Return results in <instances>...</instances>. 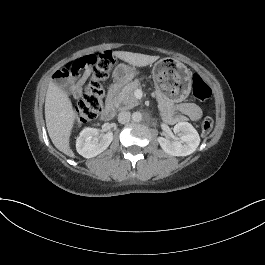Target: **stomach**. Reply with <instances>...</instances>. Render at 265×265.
I'll return each instance as SVG.
<instances>
[{
  "mask_svg": "<svg viewBox=\"0 0 265 265\" xmlns=\"http://www.w3.org/2000/svg\"><path fill=\"white\" fill-rule=\"evenodd\" d=\"M133 76V68L125 64H119L113 72V77L120 83L130 81ZM152 76L157 92L173 103L185 100L191 91V72L173 58L157 61L153 66Z\"/></svg>",
  "mask_w": 265,
  "mask_h": 265,
  "instance_id": "0dacf381",
  "label": "stomach"
}]
</instances>
